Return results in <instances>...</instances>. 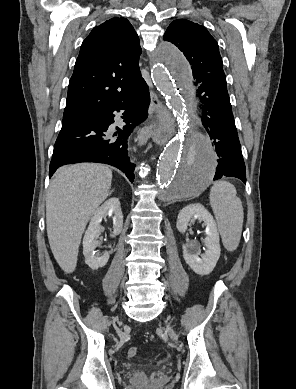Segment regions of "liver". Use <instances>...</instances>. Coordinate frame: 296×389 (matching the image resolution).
Here are the masks:
<instances>
[{"label": "liver", "mask_w": 296, "mask_h": 389, "mask_svg": "<svg viewBox=\"0 0 296 389\" xmlns=\"http://www.w3.org/2000/svg\"><path fill=\"white\" fill-rule=\"evenodd\" d=\"M112 171L105 165L78 163L59 168L46 199L50 248L61 269L77 265L82 234L98 206L108 197Z\"/></svg>", "instance_id": "liver-1"}]
</instances>
